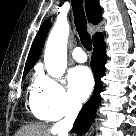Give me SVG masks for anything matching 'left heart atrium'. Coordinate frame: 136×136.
I'll use <instances>...</instances> for the list:
<instances>
[{"instance_id": "obj_1", "label": "left heart atrium", "mask_w": 136, "mask_h": 136, "mask_svg": "<svg viewBox=\"0 0 136 136\" xmlns=\"http://www.w3.org/2000/svg\"><path fill=\"white\" fill-rule=\"evenodd\" d=\"M69 90L72 97L78 101H84L93 88V77L90 70L84 66H78L69 74Z\"/></svg>"}]
</instances>
